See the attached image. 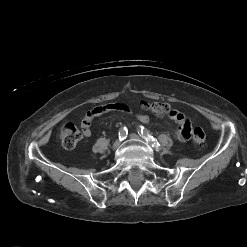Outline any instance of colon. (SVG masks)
I'll return each mask as SVG.
<instances>
[{
    "instance_id": "obj_1",
    "label": "colon",
    "mask_w": 247,
    "mask_h": 247,
    "mask_svg": "<svg viewBox=\"0 0 247 247\" xmlns=\"http://www.w3.org/2000/svg\"><path fill=\"white\" fill-rule=\"evenodd\" d=\"M142 107L159 117L171 115L173 112L168 104L161 102H143ZM190 136L196 146H202L206 139L204 130L198 126L190 130ZM80 139L81 132L75 124L66 123L61 127L60 140L64 148L73 149Z\"/></svg>"
}]
</instances>
